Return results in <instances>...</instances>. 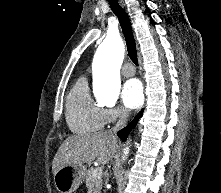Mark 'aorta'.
<instances>
[{
	"instance_id": "1",
	"label": "aorta",
	"mask_w": 221,
	"mask_h": 193,
	"mask_svg": "<svg viewBox=\"0 0 221 193\" xmlns=\"http://www.w3.org/2000/svg\"><path fill=\"white\" fill-rule=\"evenodd\" d=\"M124 58V45L117 37L106 38L98 47L95 58V97L104 104H113L120 93L118 71ZM128 148L125 149V154Z\"/></svg>"
}]
</instances>
